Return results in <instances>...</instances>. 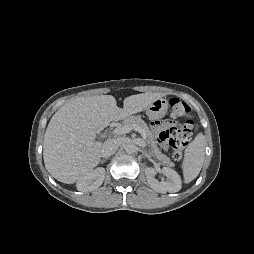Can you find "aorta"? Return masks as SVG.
<instances>
[{
    "label": "aorta",
    "mask_w": 254,
    "mask_h": 254,
    "mask_svg": "<svg viewBox=\"0 0 254 254\" xmlns=\"http://www.w3.org/2000/svg\"><path fill=\"white\" fill-rule=\"evenodd\" d=\"M125 151L128 154H132L136 152V146L133 143H128L125 145Z\"/></svg>",
    "instance_id": "1"
}]
</instances>
